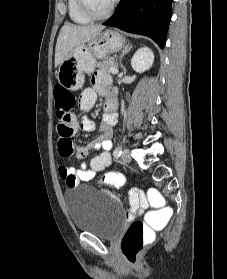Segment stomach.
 <instances>
[{"label":"stomach","mask_w":227,"mask_h":279,"mask_svg":"<svg viewBox=\"0 0 227 279\" xmlns=\"http://www.w3.org/2000/svg\"><path fill=\"white\" fill-rule=\"evenodd\" d=\"M125 38L118 32L108 29L90 41L77 45L59 65L56 78L67 90L80 89L85 81V74L96 67L97 59H105L125 46Z\"/></svg>","instance_id":"obj_1"}]
</instances>
